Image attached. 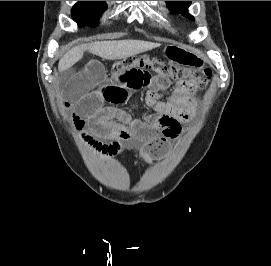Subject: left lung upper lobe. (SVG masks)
I'll return each instance as SVG.
<instances>
[{
  "mask_svg": "<svg viewBox=\"0 0 271 266\" xmlns=\"http://www.w3.org/2000/svg\"><path fill=\"white\" fill-rule=\"evenodd\" d=\"M166 3L172 10L194 20V17L188 13V7L190 6L191 1H166Z\"/></svg>",
  "mask_w": 271,
  "mask_h": 266,
  "instance_id": "1",
  "label": "left lung upper lobe"
}]
</instances>
